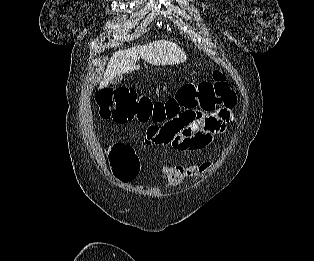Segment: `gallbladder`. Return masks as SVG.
<instances>
[{"label": "gallbladder", "mask_w": 314, "mask_h": 261, "mask_svg": "<svg viewBox=\"0 0 314 261\" xmlns=\"http://www.w3.org/2000/svg\"><path fill=\"white\" fill-rule=\"evenodd\" d=\"M122 79H123L122 75H116L111 81V84H118L122 81Z\"/></svg>", "instance_id": "bac80fb5"}]
</instances>
